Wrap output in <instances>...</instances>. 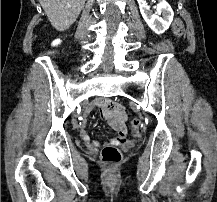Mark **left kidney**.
I'll use <instances>...</instances> for the list:
<instances>
[{
    "label": "left kidney",
    "instance_id": "left-kidney-1",
    "mask_svg": "<svg viewBox=\"0 0 217 202\" xmlns=\"http://www.w3.org/2000/svg\"><path fill=\"white\" fill-rule=\"evenodd\" d=\"M146 24L149 28L155 32V34H164L165 30H168L174 16V12L165 2V0H159V4L156 6V12L153 14V10H150V6L146 4L145 0H137ZM162 16V18H160Z\"/></svg>",
    "mask_w": 217,
    "mask_h": 202
}]
</instances>
